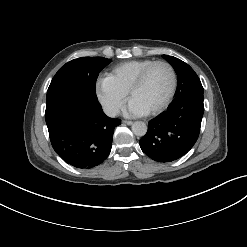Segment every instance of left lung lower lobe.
<instances>
[{
	"instance_id": "1",
	"label": "left lung lower lobe",
	"mask_w": 247,
	"mask_h": 247,
	"mask_svg": "<svg viewBox=\"0 0 247 247\" xmlns=\"http://www.w3.org/2000/svg\"><path fill=\"white\" fill-rule=\"evenodd\" d=\"M203 113L202 93L175 100L166 112L149 122L147 133L139 141L142 151L158 162L182 157L198 139Z\"/></svg>"
}]
</instances>
